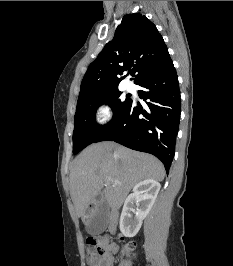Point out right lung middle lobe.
Instances as JSON below:
<instances>
[{"label": "right lung middle lobe", "instance_id": "right-lung-middle-lobe-1", "mask_svg": "<svg viewBox=\"0 0 233 266\" xmlns=\"http://www.w3.org/2000/svg\"><path fill=\"white\" fill-rule=\"evenodd\" d=\"M120 95L121 92L117 88L78 100L73 131L74 154H77L89 144L94 143L129 106L131 99L121 100ZM104 103L112 107L114 115L107 125L99 126L96 123L95 113L97 108Z\"/></svg>", "mask_w": 233, "mask_h": 266}]
</instances>
